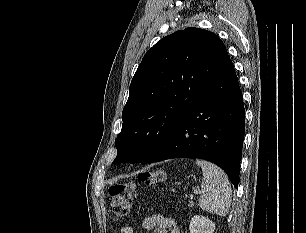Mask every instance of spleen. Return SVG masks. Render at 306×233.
<instances>
[{"mask_svg": "<svg viewBox=\"0 0 306 233\" xmlns=\"http://www.w3.org/2000/svg\"><path fill=\"white\" fill-rule=\"evenodd\" d=\"M196 164L202 168L203 172L201 188L204 193L199 199L200 208L219 216H226L232 198V190L227 175L221 168L210 162L197 160Z\"/></svg>", "mask_w": 306, "mask_h": 233, "instance_id": "obj_1", "label": "spleen"}]
</instances>
